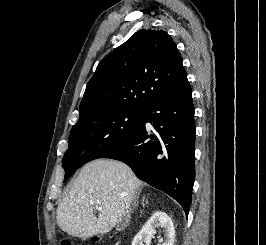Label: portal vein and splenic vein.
I'll return each mask as SVG.
<instances>
[{
  "label": "portal vein and splenic vein",
  "instance_id": "18ae733b",
  "mask_svg": "<svg viewBox=\"0 0 266 245\" xmlns=\"http://www.w3.org/2000/svg\"><path fill=\"white\" fill-rule=\"evenodd\" d=\"M96 211H102V207H99V205H95Z\"/></svg>",
  "mask_w": 266,
  "mask_h": 245
}]
</instances>
